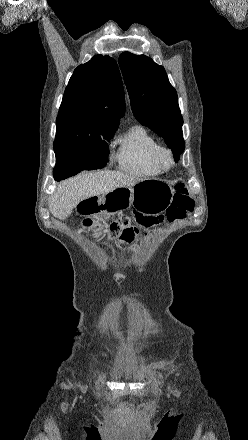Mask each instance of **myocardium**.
Masks as SVG:
<instances>
[{
	"label": "myocardium",
	"instance_id": "1",
	"mask_svg": "<svg viewBox=\"0 0 248 440\" xmlns=\"http://www.w3.org/2000/svg\"><path fill=\"white\" fill-rule=\"evenodd\" d=\"M153 162L161 171H168L175 163L173 152L167 147L159 146L153 153Z\"/></svg>",
	"mask_w": 248,
	"mask_h": 440
}]
</instances>
